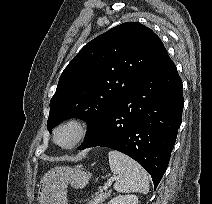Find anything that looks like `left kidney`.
<instances>
[{
	"label": "left kidney",
	"mask_w": 212,
	"mask_h": 204,
	"mask_svg": "<svg viewBox=\"0 0 212 204\" xmlns=\"http://www.w3.org/2000/svg\"><path fill=\"white\" fill-rule=\"evenodd\" d=\"M108 204H138V197L133 194L119 195L111 199Z\"/></svg>",
	"instance_id": "left-kidney-1"
}]
</instances>
